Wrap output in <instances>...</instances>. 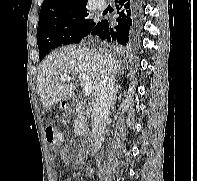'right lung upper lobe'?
I'll return each mask as SVG.
<instances>
[{"label":"right lung upper lobe","mask_w":197,"mask_h":181,"mask_svg":"<svg viewBox=\"0 0 197 181\" xmlns=\"http://www.w3.org/2000/svg\"><path fill=\"white\" fill-rule=\"evenodd\" d=\"M88 0H44L39 20L84 8Z\"/></svg>","instance_id":"right-lung-upper-lobe-1"}]
</instances>
